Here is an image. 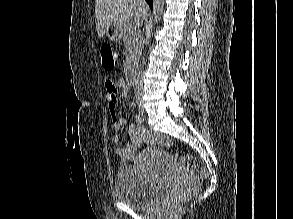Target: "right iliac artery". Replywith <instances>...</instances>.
<instances>
[{
    "label": "right iliac artery",
    "mask_w": 293,
    "mask_h": 219,
    "mask_svg": "<svg viewBox=\"0 0 293 219\" xmlns=\"http://www.w3.org/2000/svg\"><path fill=\"white\" fill-rule=\"evenodd\" d=\"M136 120L139 121V122H143L144 121V118H143V116L140 113H138L136 115Z\"/></svg>",
    "instance_id": "82829eb1"
}]
</instances>
